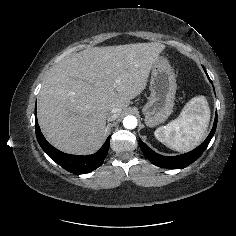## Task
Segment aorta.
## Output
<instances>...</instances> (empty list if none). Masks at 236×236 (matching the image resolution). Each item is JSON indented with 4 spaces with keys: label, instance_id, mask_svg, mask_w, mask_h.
I'll return each mask as SVG.
<instances>
[{
    "label": "aorta",
    "instance_id": "762f6f07",
    "mask_svg": "<svg viewBox=\"0 0 236 236\" xmlns=\"http://www.w3.org/2000/svg\"><path fill=\"white\" fill-rule=\"evenodd\" d=\"M123 126L126 128V129H134L136 128L137 126V118L135 116H126L124 119H123Z\"/></svg>",
    "mask_w": 236,
    "mask_h": 236
}]
</instances>
